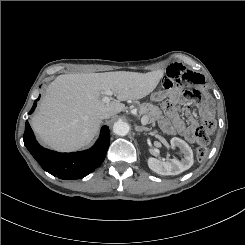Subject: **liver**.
<instances>
[{
    "label": "liver",
    "mask_w": 245,
    "mask_h": 245,
    "mask_svg": "<svg viewBox=\"0 0 245 245\" xmlns=\"http://www.w3.org/2000/svg\"><path fill=\"white\" fill-rule=\"evenodd\" d=\"M159 69L148 73L117 71L63 74L47 88L31 124L41 141L60 152L76 151L98 133L101 115L125 110L121 103L150 94L163 77ZM110 89L117 101L104 103L101 94Z\"/></svg>",
    "instance_id": "1"
}]
</instances>
